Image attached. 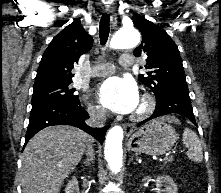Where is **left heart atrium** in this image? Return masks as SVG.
Here are the masks:
<instances>
[{
  "mask_svg": "<svg viewBox=\"0 0 221 193\" xmlns=\"http://www.w3.org/2000/svg\"><path fill=\"white\" fill-rule=\"evenodd\" d=\"M97 97L105 108L118 114L132 113L139 105L135 82L124 77L107 79L99 88Z\"/></svg>",
  "mask_w": 221,
  "mask_h": 193,
  "instance_id": "1",
  "label": "left heart atrium"
}]
</instances>
